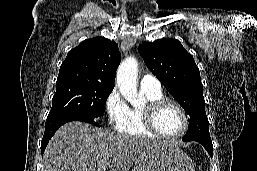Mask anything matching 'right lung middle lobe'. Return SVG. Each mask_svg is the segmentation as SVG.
<instances>
[{
    "label": "right lung middle lobe",
    "mask_w": 257,
    "mask_h": 171,
    "mask_svg": "<svg viewBox=\"0 0 257 171\" xmlns=\"http://www.w3.org/2000/svg\"><path fill=\"white\" fill-rule=\"evenodd\" d=\"M112 90L110 87L88 84L57 87L47 118L69 113L92 118L100 117L104 113L106 100Z\"/></svg>",
    "instance_id": "1"
}]
</instances>
